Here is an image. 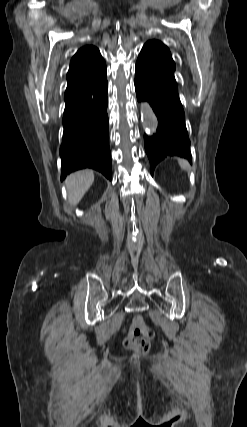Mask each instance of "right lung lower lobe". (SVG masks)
I'll return each instance as SVG.
<instances>
[{
  "mask_svg": "<svg viewBox=\"0 0 247 427\" xmlns=\"http://www.w3.org/2000/svg\"><path fill=\"white\" fill-rule=\"evenodd\" d=\"M106 67L95 76L67 87L60 147L61 180L83 168L112 178L107 115Z\"/></svg>",
  "mask_w": 247,
  "mask_h": 427,
  "instance_id": "obj_1",
  "label": "right lung lower lobe"
}]
</instances>
